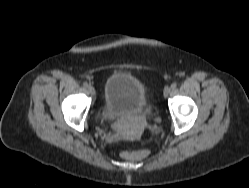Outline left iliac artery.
Masks as SVG:
<instances>
[{"instance_id":"left-iliac-artery-1","label":"left iliac artery","mask_w":249,"mask_h":188,"mask_svg":"<svg viewBox=\"0 0 249 188\" xmlns=\"http://www.w3.org/2000/svg\"><path fill=\"white\" fill-rule=\"evenodd\" d=\"M176 87H177V84H176V83H172V84H171V88H172V89H175Z\"/></svg>"}]
</instances>
